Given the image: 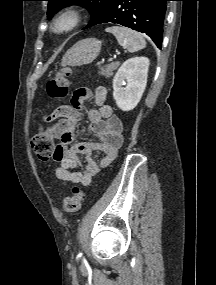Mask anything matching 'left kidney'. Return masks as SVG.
<instances>
[{
    "mask_svg": "<svg viewBox=\"0 0 216 285\" xmlns=\"http://www.w3.org/2000/svg\"><path fill=\"white\" fill-rule=\"evenodd\" d=\"M149 59L134 57L126 60L113 79V97L122 111H131L139 103L146 84Z\"/></svg>",
    "mask_w": 216,
    "mask_h": 285,
    "instance_id": "5707ae66",
    "label": "left kidney"
}]
</instances>
